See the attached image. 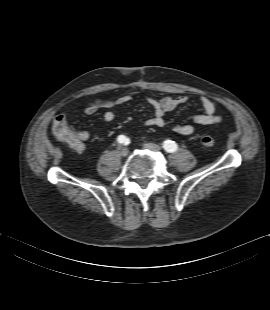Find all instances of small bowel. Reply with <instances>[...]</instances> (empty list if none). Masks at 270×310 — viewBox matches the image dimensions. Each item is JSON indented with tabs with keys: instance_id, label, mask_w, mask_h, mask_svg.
Here are the masks:
<instances>
[{
	"instance_id": "c3829d8e",
	"label": "small bowel",
	"mask_w": 270,
	"mask_h": 310,
	"mask_svg": "<svg viewBox=\"0 0 270 310\" xmlns=\"http://www.w3.org/2000/svg\"><path fill=\"white\" fill-rule=\"evenodd\" d=\"M131 96L128 94L120 95L114 98H97L88 100L84 103V112L88 115L97 112L100 109L105 110L103 114V120L107 123L112 122L115 118L114 112L111 108L115 105H121L128 102ZM189 100L187 95H180L177 97L165 96L160 99L153 97H147V102L154 110L152 117L145 121V124L150 127L162 128L165 126V114L176 109L178 106L186 103ZM200 102L203 107V112L196 114L192 117L194 123L208 126L214 125L221 121L220 116L215 114L217 108V102L209 97L202 96ZM174 132L190 136L194 133V127L191 124H178L173 127ZM79 135L81 142V148L76 150H82L84 143L90 138V134L87 131H76Z\"/></svg>"
}]
</instances>
